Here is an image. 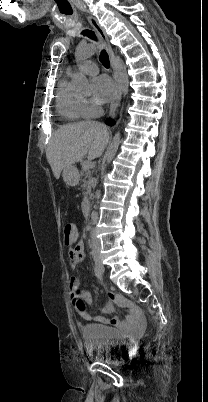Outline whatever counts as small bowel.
Wrapping results in <instances>:
<instances>
[{
	"label": "small bowel",
	"instance_id": "1",
	"mask_svg": "<svg viewBox=\"0 0 208 402\" xmlns=\"http://www.w3.org/2000/svg\"><path fill=\"white\" fill-rule=\"evenodd\" d=\"M75 236L77 238H80L82 236V233L80 231H77L75 233ZM67 252L70 254V257H71V262H70L71 266L77 265L84 257L82 242L79 241L78 245L74 249L72 247H69L67 249ZM69 295L72 298L75 296H79L88 303H90L92 301V296L90 294L82 292L80 290L79 281L75 277H72L69 280ZM107 295L111 301H116V303L119 306H126L128 308H131V304H129L124 299H122L123 295L121 293L117 294L115 292V290L110 289V290H108ZM80 316L85 318V321L88 324L93 323V321H95L96 324L111 323V324L116 325V324L120 323V320L117 318L108 320V319L104 318L103 315H96L94 318L87 311L85 314L80 315ZM122 321H123V323H125V327H127L129 330H138L140 327V324H144L146 322V317L143 315V312L141 309H134L132 312V315L123 316Z\"/></svg>",
	"mask_w": 208,
	"mask_h": 402
}]
</instances>
